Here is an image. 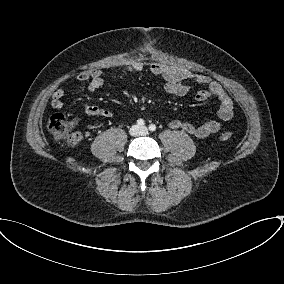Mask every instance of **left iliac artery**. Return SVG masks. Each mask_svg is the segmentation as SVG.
<instances>
[{
  "mask_svg": "<svg viewBox=\"0 0 284 284\" xmlns=\"http://www.w3.org/2000/svg\"><path fill=\"white\" fill-rule=\"evenodd\" d=\"M149 130H150L151 132L155 131V130H156V126H155L154 124H150V125H149Z\"/></svg>",
  "mask_w": 284,
  "mask_h": 284,
  "instance_id": "44dca946",
  "label": "left iliac artery"
}]
</instances>
